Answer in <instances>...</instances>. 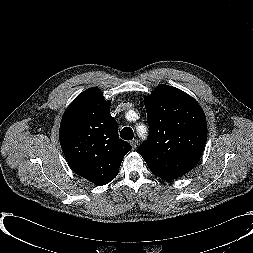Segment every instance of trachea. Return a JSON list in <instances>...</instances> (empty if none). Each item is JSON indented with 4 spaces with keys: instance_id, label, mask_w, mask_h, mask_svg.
Listing matches in <instances>:
<instances>
[{
    "instance_id": "1",
    "label": "trachea",
    "mask_w": 253,
    "mask_h": 253,
    "mask_svg": "<svg viewBox=\"0 0 253 253\" xmlns=\"http://www.w3.org/2000/svg\"><path fill=\"white\" fill-rule=\"evenodd\" d=\"M120 137L124 140H132L134 137L133 130L130 127H125L120 132Z\"/></svg>"
}]
</instances>
